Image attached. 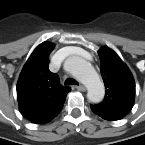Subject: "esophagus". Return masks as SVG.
<instances>
[{
    "label": "esophagus",
    "instance_id": "esophagus-1",
    "mask_svg": "<svg viewBox=\"0 0 145 145\" xmlns=\"http://www.w3.org/2000/svg\"><path fill=\"white\" fill-rule=\"evenodd\" d=\"M76 88H77V90L82 91V92L86 91L85 86H83V85H81V84L78 85V86H76Z\"/></svg>",
    "mask_w": 145,
    "mask_h": 145
}]
</instances>
